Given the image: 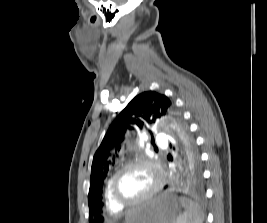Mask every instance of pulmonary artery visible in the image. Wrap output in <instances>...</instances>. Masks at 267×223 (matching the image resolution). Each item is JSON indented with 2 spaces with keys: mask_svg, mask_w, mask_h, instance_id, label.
Masks as SVG:
<instances>
[{
  "mask_svg": "<svg viewBox=\"0 0 267 223\" xmlns=\"http://www.w3.org/2000/svg\"><path fill=\"white\" fill-rule=\"evenodd\" d=\"M159 144H160V146H163V142L162 141H159Z\"/></svg>",
  "mask_w": 267,
  "mask_h": 223,
  "instance_id": "obj_1",
  "label": "pulmonary artery"
}]
</instances>
